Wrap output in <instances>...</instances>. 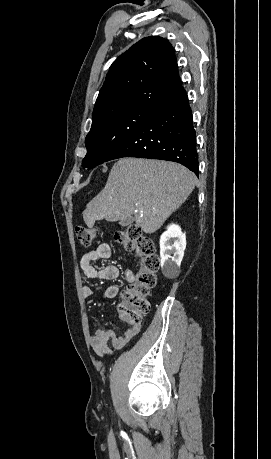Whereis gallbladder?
<instances>
[{
    "mask_svg": "<svg viewBox=\"0 0 271 459\" xmlns=\"http://www.w3.org/2000/svg\"><path fill=\"white\" fill-rule=\"evenodd\" d=\"M133 220H130V218H126V220H120L119 224L120 226H129V224H132Z\"/></svg>",
    "mask_w": 271,
    "mask_h": 459,
    "instance_id": "gallbladder-1",
    "label": "gallbladder"
}]
</instances>
